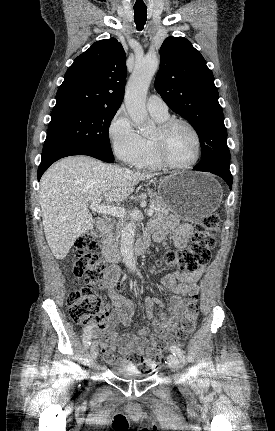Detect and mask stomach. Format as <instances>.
<instances>
[{"label": "stomach", "mask_w": 275, "mask_h": 431, "mask_svg": "<svg viewBox=\"0 0 275 431\" xmlns=\"http://www.w3.org/2000/svg\"><path fill=\"white\" fill-rule=\"evenodd\" d=\"M158 193L172 212L188 222L212 214L222 198L219 183L203 172L173 173L161 180Z\"/></svg>", "instance_id": "0dacf381"}]
</instances>
